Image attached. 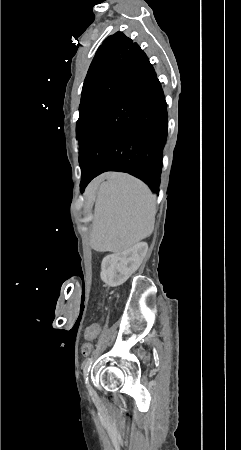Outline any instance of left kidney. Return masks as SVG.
Instances as JSON below:
<instances>
[{"label": "left kidney", "mask_w": 241, "mask_h": 450, "mask_svg": "<svg viewBox=\"0 0 241 450\" xmlns=\"http://www.w3.org/2000/svg\"><path fill=\"white\" fill-rule=\"evenodd\" d=\"M148 250L146 242H140L133 248L121 252V254H110L103 258L101 264V280L115 288L124 284L142 264Z\"/></svg>", "instance_id": "5707ae66"}]
</instances>
